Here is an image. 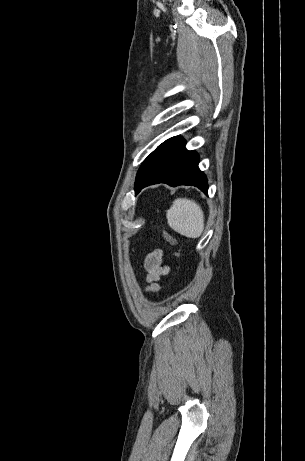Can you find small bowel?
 <instances>
[{"label": "small bowel", "mask_w": 305, "mask_h": 461, "mask_svg": "<svg viewBox=\"0 0 305 461\" xmlns=\"http://www.w3.org/2000/svg\"><path fill=\"white\" fill-rule=\"evenodd\" d=\"M163 250L155 249L149 252L144 261V267L147 273V281L149 285L146 291L149 293H157L161 290L158 281L162 276L169 273V267L163 264Z\"/></svg>", "instance_id": "obj_1"}]
</instances>
